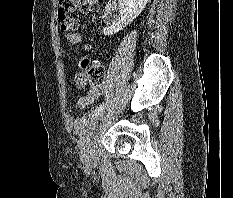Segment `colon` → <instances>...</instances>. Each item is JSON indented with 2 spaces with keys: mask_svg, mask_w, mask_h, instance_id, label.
Instances as JSON below:
<instances>
[{
  "mask_svg": "<svg viewBox=\"0 0 233 198\" xmlns=\"http://www.w3.org/2000/svg\"><path fill=\"white\" fill-rule=\"evenodd\" d=\"M94 5V0H59L58 19L65 39L70 44L80 42V33L77 26L79 12H89ZM82 61L80 62V65ZM81 84L88 85L90 89L99 87L104 81V70L101 65H93L80 75Z\"/></svg>",
  "mask_w": 233,
  "mask_h": 198,
  "instance_id": "1",
  "label": "colon"
}]
</instances>
